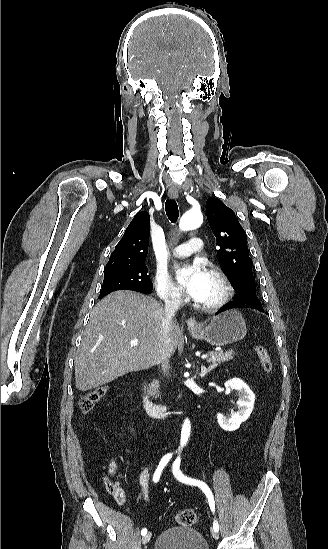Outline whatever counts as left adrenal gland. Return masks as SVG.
Instances as JSON below:
<instances>
[{
  "label": "left adrenal gland",
  "mask_w": 328,
  "mask_h": 549,
  "mask_svg": "<svg viewBox=\"0 0 328 549\" xmlns=\"http://www.w3.org/2000/svg\"><path fill=\"white\" fill-rule=\"evenodd\" d=\"M202 371H201V375H207V373H210V371H212L213 367H201Z\"/></svg>",
  "instance_id": "1"
}]
</instances>
